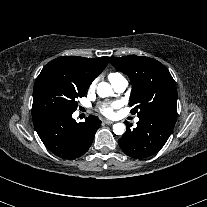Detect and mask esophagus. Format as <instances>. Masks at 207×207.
<instances>
[{"label":"esophagus","mask_w":207,"mask_h":207,"mask_svg":"<svg viewBox=\"0 0 207 207\" xmlns=\"http://www.w3.org/2000/svg\"><path fill=\"white\" fill-rule=\"evenodd\" d=\"M103 122H104L105 124H107V125H111V124L114 123L113 121L108 120V119H104Z\"/></svg>","instance_id":"34e87169"}]
</instances>
